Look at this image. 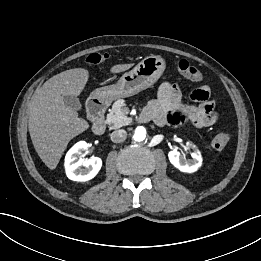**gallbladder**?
Returning a JSON list of instances; mask_svg holds the SVG:
<instances>
[{
  "instance_id": "1",
  "label": "gallbladder",
  "mask_w": 261,
  "mask_h": 261,
  "mask_svg": "<svg viewBox=\"0 0 261 261\" xmlns=\"http://www.w3.org/2000/svg\"><path fill=\"white\" fill-rule=\"evenodd\" d=\"M63 101L67 107H70L76 111L82 109V105L79 101V98H77L75 96L65 95V96H63Z\"/></svg>"
}]
</instances>
